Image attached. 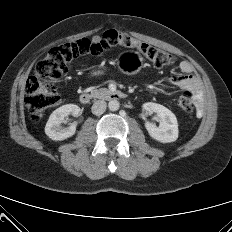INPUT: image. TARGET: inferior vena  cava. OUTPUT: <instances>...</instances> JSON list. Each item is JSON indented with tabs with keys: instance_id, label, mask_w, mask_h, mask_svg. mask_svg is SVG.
I'll return each mask as SVG.
<instances>
[{
	"instance_id": "obj_1",
	"label": "inferior vena cava",
	"mask_w": 232,
	"mask_h": 232,
	"mask_svg": "<svg viewBox=\"0 0 232 232\" xmlns=\"http://www.w3.org/2000/svg\"><path fill=\"white\" fill-rule=\"evenodd\" d=\"M106 107H107V104H106L105 101L98 100V101L94 102V104L92 105L91 110H92V113L94 115L99 116V115H102L105 112Z\"/></svg>"
}]
</instances>
